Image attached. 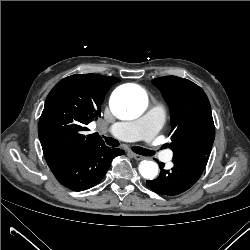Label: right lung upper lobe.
<instances>
[{"instance_id": "1", "label": "right lung upper lobe", "mask_w": 250, "mask_h": 250, "mask_svg": "<svg viewBox=\"0 0 250 250\" xmlns=\"http://www.w3.org/2000/svg\"><path fill=\"white\" fill-rule=\"evenodd\" d=\"M119 79L96 74H75L58 82L47 96L38 135L47 163L69 159L83 150L104 144L98 134L86 135L97 120L109 88Z\"/></svg>"}]
</instances>
